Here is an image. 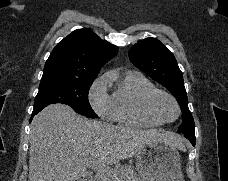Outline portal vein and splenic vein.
<instances>
[{"instance_id":"obj_1","label":"portal vein and splenic vein","mask_w":228,"mask_h":181,"mask_svg":"<svg viewBox=\"0 0 228 181\" xmlns=\"http://www.w3.org/2000/svg\"><path fill=\"white\" fill-rule=\"evenodd\" d=\"M85 167H92L93 171H95L99 177H104V175H112V173H114L113 169H110V167H107V165H99L97 161H88ZM114 177H117V175H112L110 179H114ZM104 179H107V177H104Z\"/></svg>"}]
</instances>
